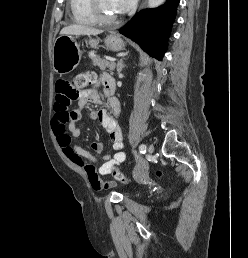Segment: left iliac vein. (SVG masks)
<instances>
[{
	"label": "left iliac vein",
	"mask_w": 248,
	"mask_h": 258,
	"mask_svg": "<svg viewBox=\"0 0 248 258\" xmlns=\"http://www.w3.org/2000/svg\"><path fill=\"white\" fill-rule=\"evenodd\" d=\"M154 152V146L153 145H149L148 146V153L152 154Z\"/></svg>",
	"instance_id": "left-iliac-vein-1"
}]
</instances>
